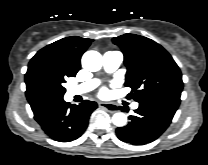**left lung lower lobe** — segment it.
<instances>
[{
    "instance_id": "left-lung-lower-lobe-1",
    "label": "left lung lower lobe",
    "mask_w": 208,
    "mask_h": 165,
    "mask_svg": "<svg viewBox=\"0 0 208 165\" xmlns=\"http://www.w3.org/2000/svg\"><path fill=\"white\" fill-rule=\"evenodd\" d=\"M180 104L179 98L159 97L139 103L136 115L130 122L116 129L118 138L133 145H143L156 140L170 125Z\"/></svg>"
}]
</instances>
